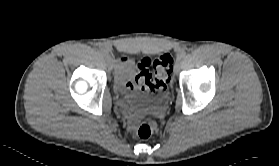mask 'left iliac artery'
<instances>
[{
  "label": "left iliac artery",
  "mask_w": 279,
  "mask_h": 166,
  "mask_svg": "<svg viewBox=\"0 0 279 166\" xmlns=\"http://www.w3.org/2000/svg\"><path fill=\"white\" fill-rule=\"evenodd\" d=\"M187 55L186 51H181L177 54V60H181L183 58H185V56Z\"/></svg>",
  "instance_id": "44dca946"
}]
</instances>
